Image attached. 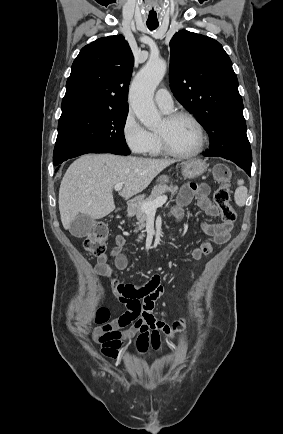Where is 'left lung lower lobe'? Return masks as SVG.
<instances>
[{
	"mask_svg": "<svg viewBox=\"0 0 283 434\" xmlns=\"http://www.w3.org/2000/svg\"><path fill=\"white\" fill-rule=\"evenodd\" d=\"M204 156H208L207 153ZM252 161L239 162L238 166L241 167L248 175H251Z\"/></svg>",
	"mask_w": 283,
	"mask_h": 434,
	"instance_id": "0a47b994",
	"label": "left lung lower lobe"
}]
</instances>
